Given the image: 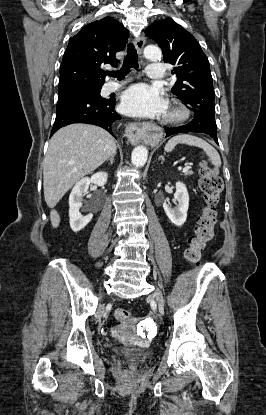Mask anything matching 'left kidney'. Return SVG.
<instances>
[{"instance_id": "5707ae66", "label": "left kidney", "mask_w": 266, "mask_h": 415, "mask_svg": "<svg viewBox=\"0 0 266 415\" xmlns=\"http://www.w3.org/2000/svg\"><path fill=\"white\" fill-rule=\"evenodd\" d=\"M174 201L177 203L175 208H172L171 205L166 202L163 204V208L174 225L182 226L186 221L189 208V194L186 186L182 182L176 183Z\"/></svg>"}]
</instances>
